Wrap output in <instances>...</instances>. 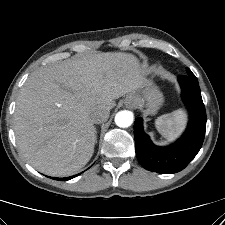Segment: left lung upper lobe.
<instances>
[{
  "label": "left lung upper lobe",
  "mask_w": 225,
  "mask_h": 225,
  "mask_svg": "<svg viewBox=\"0 0 225 225\" xmlns=\"http://www.w3.org/2000/svg\"><path fill=\"white\" fill-rule=\"evenodd\" d=\"M187 73H188V75H194V74L191 72V70L188 69V68H187Z\"/></svg>",
  "instance_id": "left-lung-upper-lobe-1"
}]
</instances>
